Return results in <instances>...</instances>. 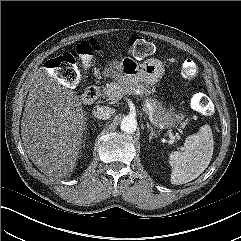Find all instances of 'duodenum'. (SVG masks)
I'll list each match as a JSON object with an SVG mask.
<instances>
[{"label":"duodenum","instance_id":"duodenum-1","mask_svg":"<svg viewBox=\"0 0 241 241\" xmlns=\"http://www.w3.org/2000/svg\"><path fill=\"white\" fill-rule=\"evenodd\" d=\"M98 97V88L95 86H90L86 88L82 95V101L84 104H92Z\"/></svg>","mask_w":241,"mask_h":241}]
</instances>
